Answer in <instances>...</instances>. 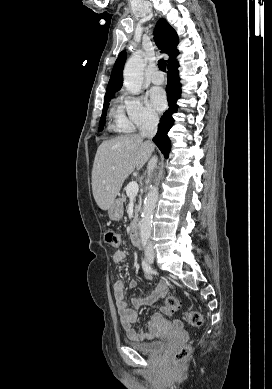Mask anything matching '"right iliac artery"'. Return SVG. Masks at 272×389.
I'll return each mask as SVG.
<instances>
[{"label": "right iliac artery", "instance_id": "82829eb1", "mask_svg": "<svg viewBox=\"0 0 272 389\" xmlns=\"http://www.w3.org/2000/svg\"><path fill=\"white\" fill-rule=\"evenodd\" d=\"M144 246H145V244H144ZM142 268L148 275L152 274V268L150 267V265L148 264V262L145 259H143V261H142Z\"/></svg>", "mask_w": 272, "mask_h": 389}]
</instances>
